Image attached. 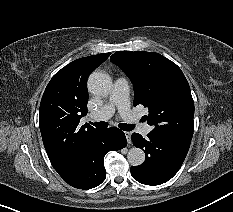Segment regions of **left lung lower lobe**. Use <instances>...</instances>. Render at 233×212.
Listing matches in <instances>:
<instances>
[{"mask_svg":"<svg viewBox=\"0 0 233 212\" xmlns=\"http://www.w3.org/2000/svg\"><path fill=\"white\" fill-rule=\"evenodd\" d=\"M131 139L134 146L146 154L143 164L131 167V175L146 185H160L170 180L178 172L190 147V142L152 133L147 139L133 133Z\"/></svg>","mask_w":233,"mask_h":212,"instance_id":"left-lung-lower-lobe-1","label":"left lung lower lobe"}]
</instances>
